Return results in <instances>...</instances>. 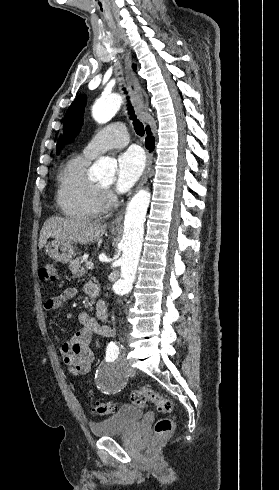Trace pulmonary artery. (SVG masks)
Segmentation results:
<instances>
[{
  "instance_id": "1",
  "label": "pulmonary artery",
  "mask_w": 279,
  "mask_h": 490,
  "mask_svg": "<svg viewBox=\"0 0 279 490\" xmlns=\"http://www.w3.org/2000/svg\"><path fill=\"white\" fill-rule=\"evenodd\" d=\"M115 123L97 131L85 146L83 155L93 159L109 149L126 146L129 139L126 128L122 126L124 120L118 117Z\"/></svg>"
}]
</instances>
